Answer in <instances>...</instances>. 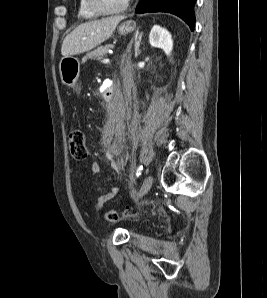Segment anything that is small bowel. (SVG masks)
<instances>
[{"label": "small bowel", "instance_id": "c3829d8e", "mask_svg": "<svg viewBox=\"0 0 267 298\" xmlns=\"http://www.w3.org/2000/svg\"><path fill=\"white\" fill-rule=\"evenodd\" d=\"M89 169H90V172L93 174H102V169L100 165L97 163H91ZM116 170L119 171L118 166L116 167ZM118 193H119L118 187L111 188V190L108 193L100 195L95 199V207L97 209H101L107 202H109L114 197H116Z\"/></svg>", "mask_w": 267, "mask_h": 298}]
</instances>
